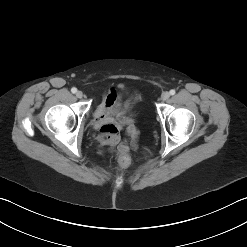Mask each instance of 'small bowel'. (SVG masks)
Masks as SVG:
<instances>
[{"label": "small bowel", "instance_id": "1", "mask_svg": "<svg viewBox=\"0 0 247 247\" xmlns=\"http://www.w3.org/2000/svg\"><path fill=\"white\" fill-rule=\"evenodd\" d=\"M135 99L138 97L123 101L120 94L111 88L93 113V126L100 132V142L112 150L116 148L119 154L137 146L138 131L134 127L129 130L130 143L120 142V131L125 123L131 121L126 115L132 110Z\"/></svg>", "mask_w": 247, "mask_h": 247}]
</instances>
